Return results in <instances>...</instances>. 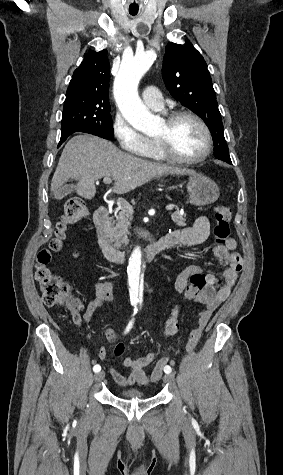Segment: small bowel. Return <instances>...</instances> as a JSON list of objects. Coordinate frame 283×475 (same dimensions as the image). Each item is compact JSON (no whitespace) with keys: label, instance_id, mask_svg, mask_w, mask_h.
<instances>
[{"label":"small bowel","instance_id":"small-bowel-1","mask_svg":"<svg viewBox=\"0 0 283 475\" xmlns=\"http://www.w3.org/2000/svg\"><path fill=\"white\" fill-rule=\"evenodd\" d=\"M210 236V221L208 217L201 216L197 218L193 226L185 227L174 231L167 235V247L182 246H198L205 243ZM236 242L230 239L226 244H218L213 248L214 256L225 266L222 274L223 281L219 284L218 278L212 273H204L209 281L206 288L205 296H198L197 302L202 304L204 308L198 313L196 324L190 331L187 339V350L192 351L197 345L201 333L209 322L213 313L217 308L230 296L242 270V258L235 252ZM196 265L186 267L176 278L175 290L182 294L183 279H187L188 274H195ZM115 286L112 282H100L95 286L94 299L88 305L84 320L90 322L95 310L104 303L110 302L114 296ZM171 312H177L173 309ZM107 335L112 341L113 333L107 331ZM125 348L122 344H118L114 348V356L121 359V364L126 367L129 372L123 374L114 367L109 368V373L116 384L119 386H130L138 384L147 386L157 382L162 374L167 362L158 361V353L150 352L138 358L122 357ZM100 359L107 357V349L101 348L98 352ZM155 362L154 369L147 373L145 368Z\"/></svg>","mask_w":283,"mask_h":475}]
</instances>
